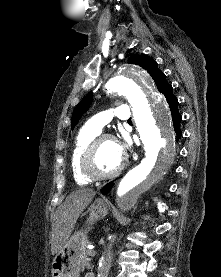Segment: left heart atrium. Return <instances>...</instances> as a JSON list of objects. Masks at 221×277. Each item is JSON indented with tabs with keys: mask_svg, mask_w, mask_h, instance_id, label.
Returning a JSON list of instances; mask_svg holds the SVG:
<instances>
[{
	"mask_svg": "<svg viewBox=\"0 0 221 277\" xmlns=\"http://www.w3.org/2000/svg\"><path fill=\"white\" fill-rule=\"evenodd\" d=\"M118 147H119V150H120V152H121V154L122 155H124L125 154V151H126V144H118Z\"/></svg>",
	"mask_w": 221,
	"mask_h": 277,
	"instance_id": "left-heart-atrium-1",
	"label": "left heart atrium"
}]
</instances>
